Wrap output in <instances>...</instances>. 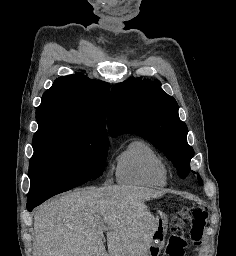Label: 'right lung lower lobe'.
<instances>
[{"label":"right lung lower lobe","mask_w":236,"mask_h":256,"mask_svg":"<svg viewBox=\"0 0 236 256\" xmlns=\"http://www.w3.org/2000/svg\"><path fill=\"white\" fill-rule=\"evenodd\" d=\"M77 187V186H76ZM72 188H75V187H71V188H66V189H63V190H59V191H56V192H53V193H50L48 195H45V196H42V197H39V198H36V199H31L28 201L27 203V209L29 211H32L34 207L38 206L39 204H41L42 202H44L46 199L56 195V194H59L61 192H64V191H68Z\"/></svg>","instance_id":"right-lung-lower-lobe-1"}]
</instances>
